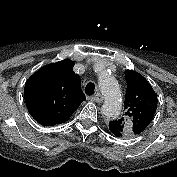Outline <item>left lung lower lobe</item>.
I'll return each instance as SVG.
<instances>
[{
  "label": "left lung lower lobe",
  "mask_w": 177,
  "mask_h": 177,
  "mask_svg": "<svg viewBox=\"0 0 177 177\" xmlns=\"http://www.w3.org/2000/svg\"><path fill=\"white\" fill-rule=\"evenodd\" d=\"M109 130L112 134H114L116 137H121L120 136V132L118 130H116L115 128H113L111 125L109 126Z\"/></svg>",
  "instance_id": "left-lung-lower-lobe-1"
}]
</instances>
